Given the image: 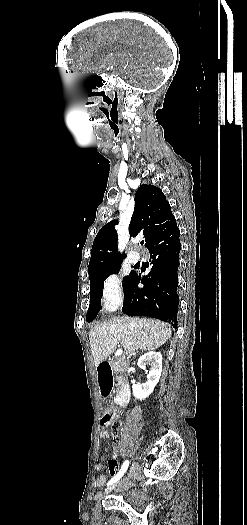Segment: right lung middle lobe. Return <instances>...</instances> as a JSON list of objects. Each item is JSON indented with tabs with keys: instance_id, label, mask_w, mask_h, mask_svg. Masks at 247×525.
I'll return each instance as SVG.
<instances>
[{
	"instance_id": "1",
	"label": "right lung middle lobe",
	"mask_w": 247,
	"mask_h": 525,
	"mask_svg": "<svg viewBox=\"0 0 247 525\" xmlns=\"http://www.w3.org/2000/svg\"><path fill=\"white\" fill-rule=\"evenodd\" d=\"M120 268L113 269L110 271L102 272V273H96V274H90V305L87 313V321H92L98 314L99 310L101 309V297H102V290H103V284L104 280L113 273H118ZM134 273H131L129 276L124 278V290L129 283L130 279L133 277Z\"/></svg>"
}]
</instances>
